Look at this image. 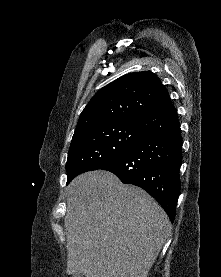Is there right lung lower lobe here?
Here are the masks:
<instances>
[{
    "label": "right lung lower lobe",
    "instance_id": "1",
    "mask_svg": "<svg viewBox=\"0 0 221 277\" xmlns=\"http://www.w3.org/2000/svg\"><path fill=\"white\" fill-rule=\"evenodd\" d=\"M139 134L127 153L102 170L143 188L174 221L180 192L182 137L171 100L138 120Z\"/></svg>",
    "mask_w": 221,
    "mask_h": 277
}]
</instances>
